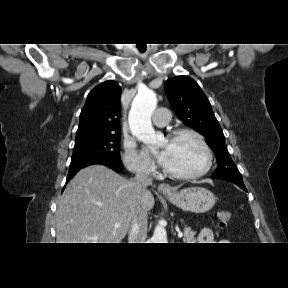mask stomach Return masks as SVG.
Listing matches in <instances>:
<instances>
[{
  "label": "stomach",
  "instance_id": "obj_1",
  "mask_svg": "<svg viewBox=\"0 0 288 288\" xmlns=\"http://www.w3.org/2000/svg\"><path fill=\"white\" fill-rule=\"evenodd\" d=\"M165 197L177 207L195 213H204L210 210L216 202L214 194L204 187H189Z\"/></svg>",
  "mask_w": 288,
  "mask_h": 288
}]
</instances>
